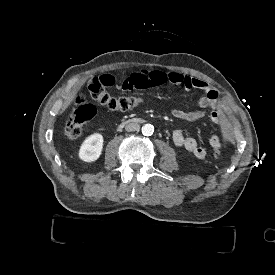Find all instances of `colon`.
Masks as SVG:
<instances>
[{
	"instance_id": "colon-1",
	"label": "colon",
	"mask_w": 275,
	"mask_h": 275,
	"mask_svg": "<svg viewBox=\"0 0 275 275\" xmlns=\"http://www.w3.org/2000/svg\"><path fill=\"white\" fill-rule=\"evenodd\" d=\"M85 88H91L93 99L98 105L110 110H127L138 106L142 100L139 97H115L107 94L105 85L101 83L100 77H85ZM97 113L95 105L87 100L86 95L80 94L76 98V108L69 116L65 124V133L70 138H77L84 133L87 122L91 121ZM212 156L216 161L224 159L221 150H212Z\"/></svg>"
}]
</instances>
